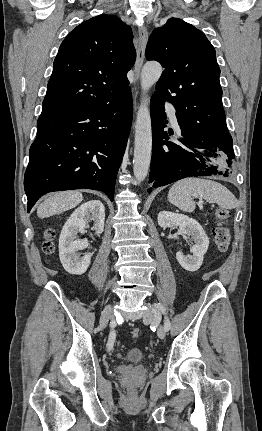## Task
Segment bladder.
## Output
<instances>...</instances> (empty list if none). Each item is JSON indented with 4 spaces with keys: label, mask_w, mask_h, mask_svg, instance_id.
<instances>
[{
    "label": "bladder",
    "mask_w": 262,
    "mask_h": 431,
    "mask_svg": "<svg viewBox=\"0 0 262 431\" xmlns=\"http://www.w3.org/2000/svg\"><path fill=\"white\" fill-rule=\"evenodd\" d=\"M126 358L131 362H140L144 360L145 354L140 348L131 347L126 352Z\"/></svg>",
    "instance_id": "bladder-1"
}]
</instances>
